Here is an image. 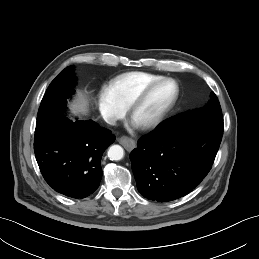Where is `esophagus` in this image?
<instances>
[{
  "label": "esophagus",
  "mask_w": 259,
  "mask_h": 259,
  "mask_svg": "<svg viewBox=\"0 0 259 259\" xmlns=\"http://www.w3.org/2000/svg\"><path fill=\"white\" fill-rule=\"evenodd\" d=\"M118 142L123 145L128 151L133 150L136 146L135 141L127 136H122L118 138Z\"/></svg>",
  "instance_id": "obj_1"
}]
</instances>
